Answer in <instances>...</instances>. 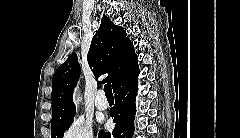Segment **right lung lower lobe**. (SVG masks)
<instances>
[{
  "instance_id": "1",
  "label": "right lung lower lobe",
  "mask_w": 240,
  "mask_h": 138,
  "mask_svg": "<svg viewBox=\"0 0 240 138\" xmlns=\"http://www.w3.org/2000/svg\"><path fill=\"white\" fill-rule=\"evenodd\" d=\"M137 76L119 85L115 93V105L110 116L116 123L112 133L100 130L98 138H131L134 133L135 96L137 95Z\"/></svg>"
}]
</instances>
